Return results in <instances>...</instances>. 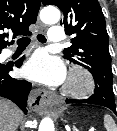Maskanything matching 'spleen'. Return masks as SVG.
I'll return each mask as SVG.
<instances>
[{
  "label": "spleen",
  "instance_id": "spleen-1",
  "mask_svg": "<svg viewBox=\"0 0 117 131\" xmlns=\"http://www.w3.org/2000/svg\"><path fill=\"white\" fill-rule=\"evenodd\" d=\"M104 127L106 128V131H117L115 121L109 114H105L104 116Z\"/></svg>",
  "mask_w": 117,
  "mask_h": 131
}]
</instances>
